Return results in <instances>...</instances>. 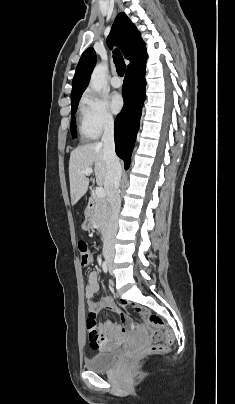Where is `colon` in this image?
I'll use <instances>...</instances> for the list:
<instances>
[{
	"label": "colon",
	"mask_w": 235,
	"mask_h": 404,
	"mask_svg": "<svg viewBox=\"0 0 235 404\" xmlns=\"http://www.w3.org/2000/svg\"><path fill=\"white\" fill-rule=\"evenodd\" d=\"M78 251L80 255V264L82 268H87L91 261V252L88 245L84 241H80L78 244ZM136 313L144 318V325L149 328V335L152 340L163 343H157L151 348L152 351H166L167 347L173 343V334L166 327L164 320L157 314L150 313L146 309L141 307L135 308ZM143 326L142 322H133V328H141ZM87 329L89 334V339L94 344H99L101 340L99 339L96 332V322L95 319L89 317L87 320ZM129 360V357H126Z\"/></svg>",
	"instance_id": "1"
}]
</instances>
